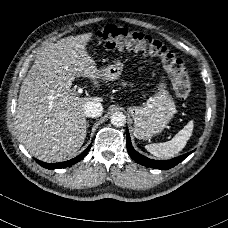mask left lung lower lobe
<instances>
[{
  "instance_id": "0a47b994",
  "label": "left lung lower lobe",
  "mask_w": 228,
  "mask_h": 228,
  "mask_svg": "<svg viewBox=\"0 0 228 228\" xmlns=\"http://www.w3.org/2000/svg\"><path fill=\"white\" fill-rule=\"evenodd\" d=\"M126 146H127V150H128L130 157L134 161H136L137 163L144 165L146 167H151V168L161 169V170H167V169H170V168L176 166L178 163H180L182 160H184L187 156H189L193 152V151H191L187 154L178 156L171 160L149 159V158L141 155L137 151H135V149L133 148V146L131 144L130 135H129L128 130L126 131Z\"/></svg>"
}]
</instances>
